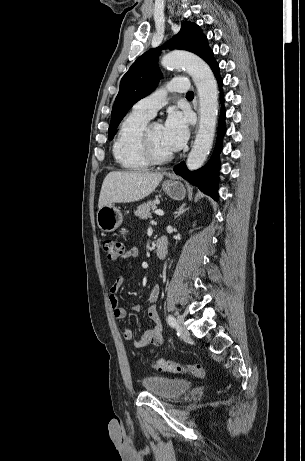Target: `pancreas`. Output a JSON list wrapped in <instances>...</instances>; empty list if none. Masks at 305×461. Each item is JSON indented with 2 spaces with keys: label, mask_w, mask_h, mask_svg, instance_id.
I'll return each mask as SVG.
<instances>
[{
  "label": "pancreas",
  "mask_w": 305,
  "mask_h": 461,
  "mask_svg": "<svg viewBox=\"0 0 305 461\" xmlns=\"http://www.w3.org/2000/svg\"><path fill=\"white\" fill-rule=\"evenodd\" d=\"M157 202L156 201H148L147 203H143L137 207L134 211V214L142 219L147 218L151 215V210H155Z\"/></svg>",
  "instance_id": "1"
}]
</instances>
